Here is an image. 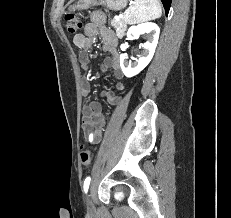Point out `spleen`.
Masks as SVG:
<instances>
[{
	"label": "spleen",
	"mask_w": 231,
	"mask_h": 218,
	"mask_svg": "<svg viewBox=\"0 0 231 218\" xmlns=\"http://www.w3.org/2000/svg\"><path fill=\"white\" fill-rule=\"evenodd\" d=\"M162 8L159 0H135L124 13V21L128 24L140 23L161 17Z\"/></svg>",
	"instance_id": "1"
}]
</instances>
